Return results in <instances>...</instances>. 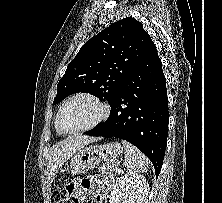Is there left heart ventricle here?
Here are the masks:
<instances>
[{
	"mask_svg": "<svg viewBox=\"0 0 222 203\" xmlns=\"http://www.w3.org/2000/svg\"><path fill=\"white\" fill-rule=\"evenodd\" d=\"M100 113L99 106L94 102L88 99H76L64 108L60 124L65 130H76L94 122Z\"/></svg>",
	"mask_w": 222,
	"mask_h": 203,
	"instance_id": "left-heart-ventricle-1",
	"label": "left heart ventricle"
}]
</instances>
